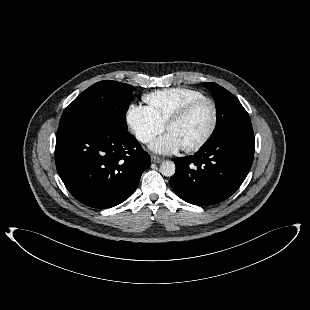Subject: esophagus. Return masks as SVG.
Listing matches in <instances>:
<instances>
[{"label": "esophagus", "instance_id": "1", "mask_svg": "<svg viewBox=\"0 0 310 310\" xmlns=\"http://www.w3.org/2000/svg\"><path fill=\"white\" fill-rule=\"evenodd\" d=\"M151 160H152V162H154V163H160V162L162 161V158H160V157H158V156H156V155H152V156H151Z\"/></svg>", "mask_w": 310, "mask_h": 310}]
</instances>
